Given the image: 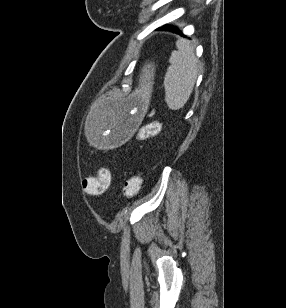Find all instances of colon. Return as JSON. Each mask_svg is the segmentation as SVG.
Instances as JSON below:
<instances>
[{
	"mask_svg": "<svg viewBox=\"0 0 286 308\" xmlns=\"http://www.w3.org/2000/svg\"><path fill=\"white\" fill-rule=\"evenodd\" d=\"M159 131V124L149 123L141 128L137 134L139 139H147ZM142 174L140 172L129 176L122 187V193L125 198L134 197L140 190L142 184ZM111 183V173L107 168H102L96 177H87L83 180V189L92 194H101L105 192Z\"/></svg>",
	"mask_w": 286,
	"mask_h": 308,
	"instance_id": "obj_1",
	"label": "colon"
}]
</instances>
